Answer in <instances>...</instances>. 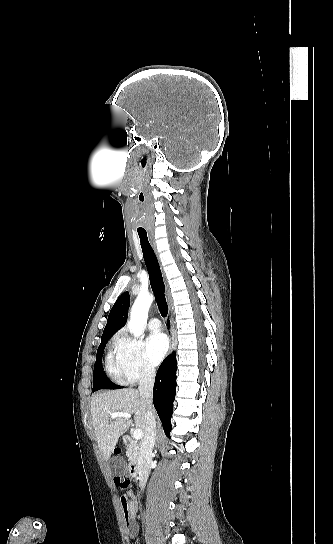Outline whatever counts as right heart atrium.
<instances>
[{
	"instance_id": "obj_1",
	"label": "right heart atrium",
	"mask_w": 333,
	"mask_h": 544,
	"mask_svg": "<svg viewBox=\"0 0 333 544\" xmlns=\"http://www.w3.org/2000/svg\"><path fill=\"white\" fill-rule=\"evenodd\" d=\"M114 345L117 364L124 382L134 384L155 375V369L148 361L141 341L122 331L115 336Z\"/></svg>"
}]
</instances>
